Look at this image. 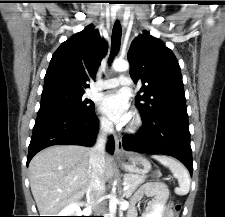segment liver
I'll use <instances>...</instances> for the list:
<instances>
[{"mask_svg": "<svg viewBox=\"0 0 225 217\" xmlns=\"http://www.w3.org/2000/svg\"><path fill=\"white\" fill-rule=\"evenodd\" d=\"M90 150L78 145H55L32 158L29 180L40 216H56L84 196L90 181ZM113 173V160L105 156L104 182Z\"/></svg>", "mask_w": 225, "mask_h": 217, "instance_id": "6515ba94", "label": "liver"}]
</instances>
